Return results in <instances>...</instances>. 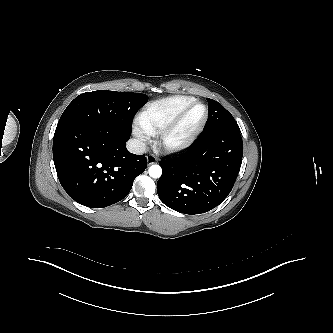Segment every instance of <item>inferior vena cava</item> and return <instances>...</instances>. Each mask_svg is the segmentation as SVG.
I'll return each instance as SVG.
<instances>
[{
    "label": "inferior vena cava",
    "instance_id": "602c4592",
    "mask_svg": "<svg viewBox=\"0 0 333 333\" xmlns=\"http://www.w3.org/2000/svg\"><path fill=\"white\" fill-rule=\"evenodd\" d=\"M126 146L129 152L137 155L144 154L146 150L145 143L138 139H130Z\"/></svg>",
    "mask_w": 333,
    "mask_h": 333
}]
</instances>
